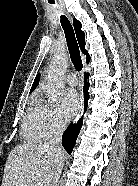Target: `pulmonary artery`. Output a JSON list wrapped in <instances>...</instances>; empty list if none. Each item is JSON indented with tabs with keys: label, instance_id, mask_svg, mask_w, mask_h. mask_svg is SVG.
Here are the masks:
<instances>
[{
	"label": "pulmonary artery",
	"instance_id": "1",
	"mask_svg": "<svg viewBox=\"0 0 138 186\" xmlns=\"http://www.w3.org/2000/svg\"><path fill=\"white\" fill-rule=\"evenodd\" d=\"M66 82L70 85V86H76L78 84V78L76 76V74L74 73H70L66 76Z\"/></svg>",
	"mask_w": 138,
	"mask_h": 186
}]
</instances>
